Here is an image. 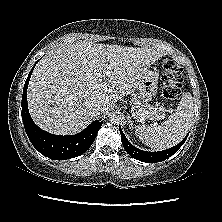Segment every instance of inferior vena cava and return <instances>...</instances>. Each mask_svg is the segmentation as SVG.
<instances>
[{"instance_id": "602c4592", "label": "inferior vena cava", "mask_w": 222, "mask_h": 222, "mask_svg": "<svg viewBox=\"0 0 222 222\" xmlns=\"http://www.w3.org/2000/svg\"><path fill=\"white\" fill-rule=\"evenodd\" d=\"M103 107L101 105H94L91 108V112L93 115H99L103 111Z\"/></svg>"}]
</instances>
